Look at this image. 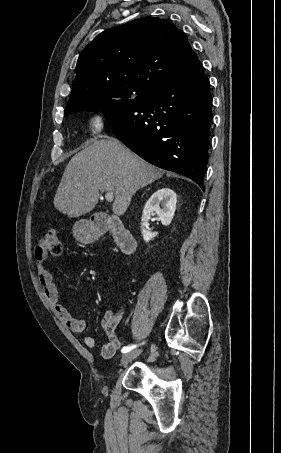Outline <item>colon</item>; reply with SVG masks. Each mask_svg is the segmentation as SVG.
<instances>
[{
	"label": "colon",
	"mask_w": 281,
	"mask_h": 453,
	"mask_svg": "<svg viewBox=\"0 0 281 453\" xmlns=\"http://www.w3.org/2000/svg\"><path fill=\"white\" fill-rule=\"evenodd\" d=\"M60 227L48 226L45 235L42 237L36 255L39 262L46 261L49 257H58L61 254Z\"/></svg>",
	"instance_id": "5ec220e1"
}]
</instances>
